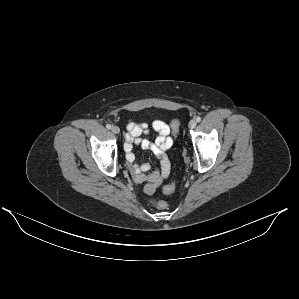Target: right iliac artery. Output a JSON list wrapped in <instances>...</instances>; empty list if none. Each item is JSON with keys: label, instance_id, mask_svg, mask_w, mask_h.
Masks as SVG:
<instances>
[{"label": "right iliac artery", "instance_id": "1", "mask_svg": "<svg viewBox=\"0 0 299 299\" xmlns=\"http://www.w3.org/2000/svg\"><path fill=\"white\" fill-rule=\"evenodd\" d=\"M106 128H107V129H111V125H110V124H107V125H106Z\"/></svg>", "mask_w": 299, "mask_h": 299}]
</instances>
